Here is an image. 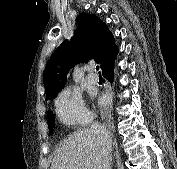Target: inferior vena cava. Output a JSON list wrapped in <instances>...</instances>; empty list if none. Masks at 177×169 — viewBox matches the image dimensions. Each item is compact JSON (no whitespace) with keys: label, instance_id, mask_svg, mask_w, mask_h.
I'll list each match as a JSON object with an SVG mask.
<instances>
[{"label":"inferior vena cava","instance_id":"1","mask_svg":"<svg viewBox=\"0 0 177 169\" xmlns=\"http://www.w3.org/2000/svg\"><path fill=\"white\" fill-rule=\"evenodd\" d=\"M97 137V141L100 144L101 156H102V165L101 169H111L112 161V138L105 126L92 123L90 129Z\"/></svg>","mask_w":177,"mask_h":169}]
</instances>
